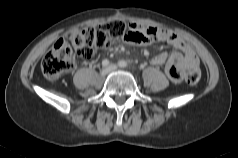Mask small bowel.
Returning a JSON list of instances; mask_svg holds the SVG:
<instances>
[{"instance_id":"c3829d8e","label":"small bowel","mask_w":238,"mask_h":158,"mask_svg":"<svg viewBox=\"0 0 238 158\" xmlns=\"http://www.w3.org/2000/svg\"><path fill=\"white\" fill-rule=\"evenodd\" d=\"M131 36L125 40L136 46H148L155 42H167L177 51L168 55L160 53L150 60L152 65H165V71L173 82H179L184 72L199 67V59L191 46L179 35L157 27H145L138 23L131 24Z\"/></svg>"}]
</instances>
